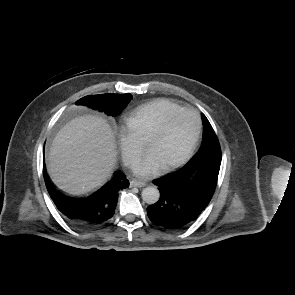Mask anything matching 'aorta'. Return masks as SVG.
Masks as SVG:
<instances>
[{"instance_id": "aorta-1", "label": "aorta", "mask_w": 295, "mask_h": 295, "mask_svg": "<svg viewBox=\"0 0 295 295\" xmlns=\"http://www.w3.org/2000/svg\"><path fill=\"white\" fill-rule=\"evenodd\" d=\"M142 199L147 204H154L159 200L160 193L156 187H146L141 193Z\"/></svg>"}]
</instances>
